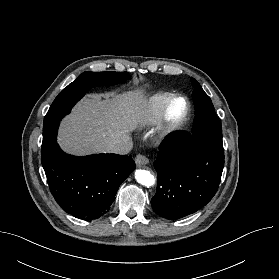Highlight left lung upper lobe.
<instances>
[{
  "label": "left lung upper lobe",
  "mask_w": 279,
  "mask_h": 279,
  "mask_svg": "<svg viewBox=\"0 0 279 279\" xmlns=\"http://www.w3.org/2000/svg\"><path fill=\"white\" fill-rule=\"evenodd\" d=\"M192 83L195 86V90L193 91L195 120L192 132L189 135L224 151L222 126L216 116L212 101L194 78H192Z\"/></svg>",
  "instance_id": "obj_1"
}]
</instances>
